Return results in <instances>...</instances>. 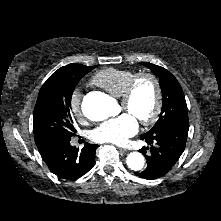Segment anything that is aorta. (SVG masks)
I'll use <instances>...</instances> for the list:
<instances>
[{"label":"aorta","instance_id":"obj_1","mask_svg":"<svg viewBox=\"0 0 221 221\" xmlns=\"http://www.w3.org/2000/svg\"><path fill=\"white\" fill-rule=\"evenodd\" d=\"M116 103L108 95L93 93L88 95L82 103V112L92 121H102L115 113ZM131 170L139 171L144 167V157L139 152H131L126 159Z\"/></svg>","mask_w":221,"mask_h":221}]
</instances>
